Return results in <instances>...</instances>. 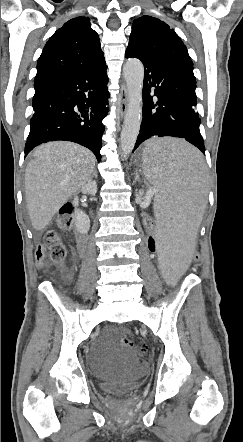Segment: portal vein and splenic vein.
I'll return each instance as SVG.
<instances>
[{"label":"portal vein and splenic vein","instance_id":"1","mask_svg":"<svg viewBox=\"0 0 243 442\" xmlns=\"http://www.w3.org/2000/svg\"><path fill=\"white\" fill-rule=\"evenodd\" d=\"M154 193H155L154 190H148V191L146 192V195L149 196V197H152V196L154 195Z\"/></svg>","mask_w":243,"mask_h":442}]
</instances>
